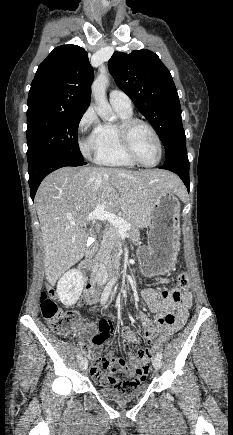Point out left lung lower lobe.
Listing matches in <instances>:
<instances>
[{"mask_svg": "<svg viewBox=\"0 0 233 435\" xmlns=\"http://www.w3.org/2000/svg\"><path fill=\"white\" fill-rule=\"evenodd\" d=\"M159 168L176 173L182 179L189 191V161L186 151L179 152L170 159H167Z\"/></svg>", "mask_w": 233, "mask_h": 435, "instance_id": "1", "label": "left lung lower lobe"}]
</instances>
